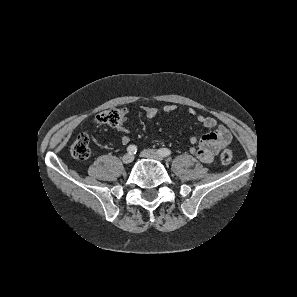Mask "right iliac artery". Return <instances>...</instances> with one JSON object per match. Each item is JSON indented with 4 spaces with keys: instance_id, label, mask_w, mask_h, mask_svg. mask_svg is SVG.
<instances>
[{
    "instance_id": "82829eb1",
    "label": "right iliac artery",
    "mask_w": 297,
    "mask_h": 297,
    "mask_svg": "<svg viewBox=\"0 0 297 297\" xmlns=\"http://www.w3.org/2000/svg\"><path fill=\"white\" fill-rule=\"evenodd\" d=\"M127 152L133 155L137 152V147L135 145H129L127 148Z\"/></svg>"
}]
</instances>
